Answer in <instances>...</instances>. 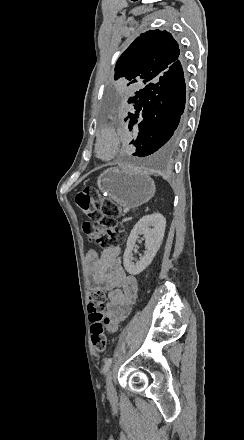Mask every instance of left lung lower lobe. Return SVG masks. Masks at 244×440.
Listing matches in <instances>:
<instances>
[{
    "instance_id": "0a47b994",
    "label": "left lung lower lobe",
    "mask_w": 244,
    "mask_h": 440,
    "mask_svg": "<svg viewBox=\"0 0 244 440\" xmlns=\"http://www.w3.org/2000/svg\"><path fill=\"white\" fill-rule=\"evenodd\" d=\"M185 100L186 86L180 60L128 99L132 108L125 120L131 118L130 129L138 122L140 130L137 140L130 143L137 148L134 156L175 149L186 127Z\"/></svg>"
}]
</instances>
